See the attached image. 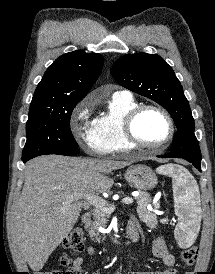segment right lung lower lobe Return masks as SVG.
I'll use <instances>...</instances> for the list:
<instances>
[{
    "instance_id": "1",
    "label": "right lung lower lobe",
    "mask_w": 215,
    "mask_h": 274,
    "mask_svg": "<svg viewBox=\"0 0 215 274\" xmlns=\"http://www.w3.org/2000/svg\"><path fill=\"white\" fill-rule=\"evenodd\" d=\"M78 152H79V150L76 148V149H73V150L64 151V152H60V153H57V154H59V155H73V154L78 153ZM22 160H23V162H26L30 159H22Z\"/></svg>"
}]
</instances>
